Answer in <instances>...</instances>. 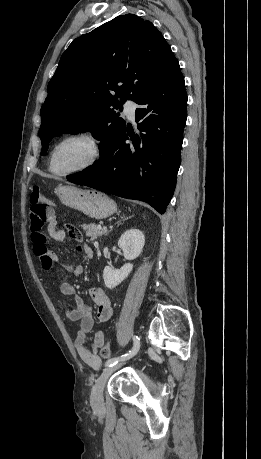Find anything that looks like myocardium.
<instances>
[{
  "label": "myocardium",
  "instance_id": "myocardium-1",
  "mask_svg": "<svg viewBox=\"0 0 261 459\" xmlns=\"http://www.w3.org/2000/svg\"><path fill=\"white\" fill-rule=\"evenodd\" d=\"M70 140L85 141L88 144L89 149H90L89 155L83 163H81L80 165L70 170L63 171V172L55 171L52 167L53 156L56 150L62 144ZM102 153H103L102 143L100 139L93 133L87 132V131L70 132V133H67L59 137L51 146L49 153H48V157H47V167H48L49 172L56 176H61V177L70 176V175L77 174V173H80V172H83V171H86L92 168L101 159Z\"/></svg>",
  "mask_w": 261,
  "mask_h": 459
}]
</instances>
